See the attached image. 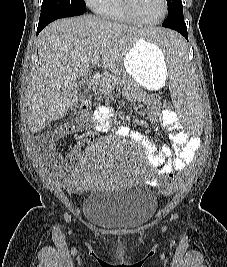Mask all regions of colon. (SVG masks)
Returning <instances> with one entry per match:
<instances>
[{
  "mask_svg": "<svg viewBox=\"0 0 227 267\" xmlns=\"http://www.w3.org/2000/svg\"><path fill=\"white\" fill-rule=\"evenodd\" d=\"M172 100H163L161 104V109H172ZM89 101L88 99H80L75 105V112L77 114V119L81 121L85 118L89 110ZM61 130H58V133H61ZM180 171H173V173H162V191L164 194H172L175 188V178H179Z\"/></svg>",
  "mask_w": 227,
  "mask_h": 267,
  "instance_id": "colon-1",
  "label": "colon"
}]
</instances>
